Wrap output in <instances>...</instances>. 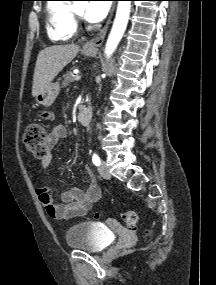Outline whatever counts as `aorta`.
I'll use <instances>...</instances> for the list:
<instances>
[{
  "label": "aorta",
  "instance_id": "1",
  "mask_svg": "<svg viewBox=\"0 0 216 285\" xmlns=\"http://www.w3.org/2000/svg\"><path fill=\"white\" fill-rule=\"evenodd\" d=\"M131 10V1H118L116 17L109 34L105 54L110 57L116 50L126 30Z\"/></svg>",
  "mask_w": 216,
  "mask_h": 285
}]
</instances>
